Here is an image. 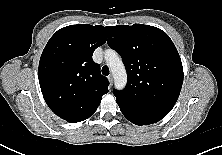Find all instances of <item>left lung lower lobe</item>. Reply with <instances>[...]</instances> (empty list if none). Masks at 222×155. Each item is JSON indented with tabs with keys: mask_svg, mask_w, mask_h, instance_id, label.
<instances>
[{
	"mask_svg": "<svg viewBox=\"0 0 222 155\" xmlns=\"http://www.w3.org/2000/svg\"><path fill=\"white\" fill-rule=\"evenodd\" d=\"M123 115L136 125H148L158 122L162 117L133 111L123 105L118 104Z\"/></svg>",
	"mask_w": 222,
	"mask_h": 155,
	"instance_id": "left-lung-lower-lobe-1",
	"label": "left lung lower lobe"
}]
</instances>
